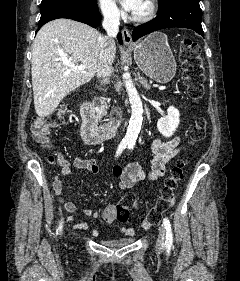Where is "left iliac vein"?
Returning a JSON list of instances; mask_svg holds the SVG:
<instances>
[{"mask_svg": "<svg viewBox=\"0 0 240 281\" xmlns=\"http://www.w3.org/2000/svg\"><path fill=\"white\" fill-rule=\"evenodd\" d=\"M165 241H166V229L162 225L159 228V235H158L157 242H156V250L158 252H162L164 250Z\"/></svg>", "mask_w": 240, "mask_h": 281, "instance_id": "4c4485c4", "label": "left iliac vein"}]
</instances>
